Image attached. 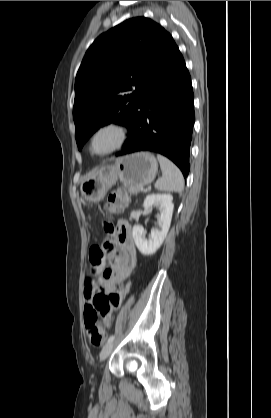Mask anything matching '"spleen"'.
<instances>
[{
  "label": "spleen",
  "mask_w": 271,
  "mask_h": 418,
  "mask_svg": "<svg viewBox=\"0 0 271 418\" xmlns=\"http://www.w3.org/2000/svg\"><path fill=\"white\" fill-rule=\"evenodd\" d=\"M162 177L155 183V188L159 191L181 193L184 189V178L179 168L169 159L162 155H157Z\"/></svg>",
  "instance_id": "obj_1"
}]
</instances>
